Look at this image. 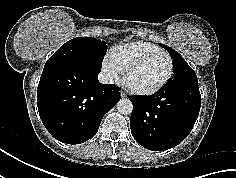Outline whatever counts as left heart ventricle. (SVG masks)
Returning a JSON list of instances; mask_svg holds the SVG:
<instances>
[{"instance_id":"left-heart-ventricle-1","label":"left heart ventricle","mask_w":236,"mask_h":178,"mask_svg":"<svg viewBox=\"0 0 236 178\" xmlns=\"http://www.w3.org/2000/svg\"><path fill=\"white\" fill-rule=\"evenodd\" d=\"M169 65L170 62L167 56H154L135 69L130 74L128 81L137 88H151L166 76Z\"/></svg>"}]
</instances>
